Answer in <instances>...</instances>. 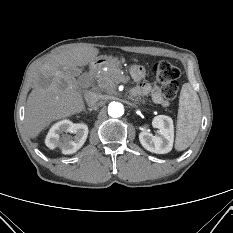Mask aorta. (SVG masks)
<instances>
[{"mask_svg": "<svg viewBox=\"0 0 233 233\" xmlns=\"http://www.w3.org/2000/svg\"><path fill=\"white\" fill-rule=\"evenodd\" d=\"M124 113V107L120 102L112 101L108 104V114L113 118L121 117Z\"/></svg>", "mask_w": 233, "mask_h": 233, "instance_id": "obj_1", "label": "aorta"}]
</instances>
